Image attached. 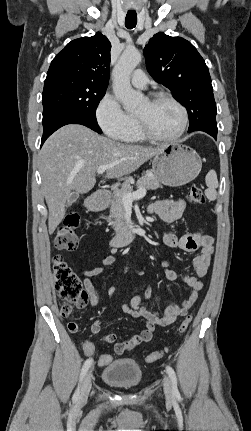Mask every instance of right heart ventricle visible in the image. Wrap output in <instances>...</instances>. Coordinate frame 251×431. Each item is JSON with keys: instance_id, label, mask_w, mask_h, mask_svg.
Instances as JSON below:
<instances>
[{"instance_id": "obj_1", "label": "right heart ventricle", "mask_w": 251, "mask_h": 431, "mask_svg": "<svg viewBox=\"0 0 251 431\" xmlns=\"http://www.w3.org/2000/svg\"><path fill=\"white\" fill-rule=\"evenodd\" d=\"M146 138L141 134L136 118L133 117V125L130 131L122 138L123 141L129 143L143 142Z\"/></svg>"}]
</instances>
